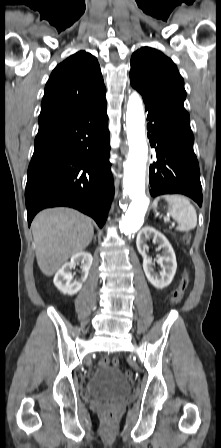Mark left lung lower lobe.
<instances>
[{"label": "left lung lower lobe", "instance_id": "1", "mask_svg": "<svg viewBox=\"0 0 221 448\" xmlns=\"http://www.w3.org/2000/svg\"><path fill=\"white\" fill-rule=\"evenodd\" d=\"M148 138L156 158L149 168L150 195L180 193L202 205L199 164L193 151L194 136L162 112L145 105Z\"/></svg>", "mask_w": 221, "mask_h": 448}]
</instances>
